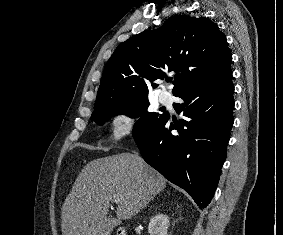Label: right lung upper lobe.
<instances>
[{
  "mask_svg": "<svg viewBox=\"0 0 283 235\" xmlns=\"http://www.w3.org/2000/svg\"><path fill=\"white\" fill-rule=\"evenodd\" d=\"M226 36L205 17L176 15L160 28L121 43L108 60L96 104L148 96L153 81L174 71L173 94L231 72ZM95 104V105H96Z\"/></svg>",
  "mask_w": 283,
  "mask_h": 235,
  "instance_id": "obj_1",
  "label": "right lung upper lobe"
}]
</instances>
